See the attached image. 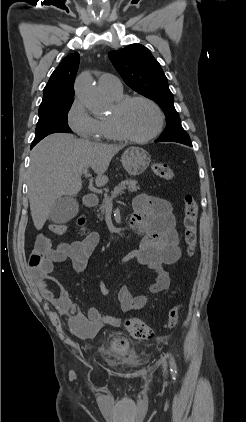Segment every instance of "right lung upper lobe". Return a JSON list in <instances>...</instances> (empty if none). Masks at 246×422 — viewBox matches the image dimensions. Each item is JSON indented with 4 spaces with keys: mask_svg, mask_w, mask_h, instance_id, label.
I'll list each match as a JSON object with an SVG mask.
<instances>
[{
    "mask_svg": "<svg viewBox=\"0 0 246 422\" xmlns=\"http://www.w3.org/2000/svg\"><path fill=\"white\" fill-rule=\"evenodd\" d=\"M79 61L80 56L77 53L69 54L61 61L43 90L40 107L62 100L74 99L73 84Z\"/></svg>",
    "mask_w": 246,
    "mask_h": 422,
    "instance_id": "1",
    "label": "right lung upper lobe"
}]
</instances>
